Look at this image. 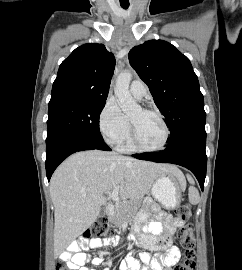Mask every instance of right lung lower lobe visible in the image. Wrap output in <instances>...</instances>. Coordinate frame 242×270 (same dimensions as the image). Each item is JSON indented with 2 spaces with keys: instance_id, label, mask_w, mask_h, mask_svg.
<instances>
[{
  "instance_id": "right-lung-lower-lobe-1",
  "label": "right lung lower lobe",
  "mask_w": 242,
  "mask_h": 270,
  "mask_svg": "<svg viewBox=\"0 0 242 270\" xmlns=\"http://www.w3.org/2000/svg\"><path fill=\"white\" fill-rule=\"evenodd\" d=\"M99 149L111 151L104 140H96L83 136H66L54 140L46 146V174L50 180L57 166L69 155L83 150Z\"/></svg>"
}]
</instances>
